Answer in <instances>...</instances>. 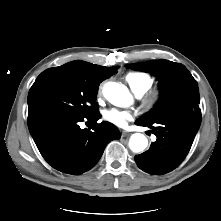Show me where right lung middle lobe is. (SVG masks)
<instances>
[{"label":"right lung middle lobe","mask_w":221,"mask_h":221,"mask_svg":"<svg viewBox=\"0 0 221 221\" xmlns=\"http://www.w3.org/2000/svg\"><path fill=\"white\" fill-rule=\"evenodd\" d=\"M98 84L89 83L71 74L56 72L36 79L28 94L29 111L63 112L89 116L97 111Z\"/></svg>","instance_id":"dd1d6c3e"}]
</instances>
